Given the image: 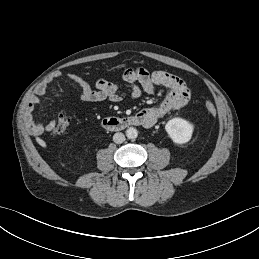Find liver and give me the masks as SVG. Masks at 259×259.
<instances>
[{"instance_id":"liver-1","label":"liver","mask_w":259,"mask_h":259,"mask_svg":"<svg viewBox=\"0 0 259 259\" xmlns=\"http://www.w3.org/2000/svg\"><path fill=\"white\" fill-rule=\"evenodd\" d=\"M36 141H37V143H38L41 147H43V148H46V147H47L46 142H45L44 140H42L41 138L36 137Z\"/></svg>"}]
</instances>
